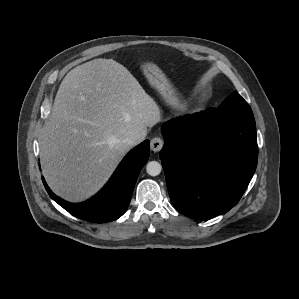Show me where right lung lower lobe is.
<instances>
[{
	"mask_svg": "<svg viewBox=\"0 0 299 299\" xmlns=\"http://www.w3.org/2000/svg\"><path fill=\"white\" fill-rule=\"evenodd\" d=\"M149 155L150 142L145 140L126 155L106 186L81 204H71L60 199L49 189L44 178L42 181L50 197L70 214L85 221L110 222L127 210L136 180Z\"/></svg>",
	"mask_w": 299,
	"mask_h": 299,
	"instance_id": "obj_1",
	"label": "right lung lower lobe"
}]
</instances>
